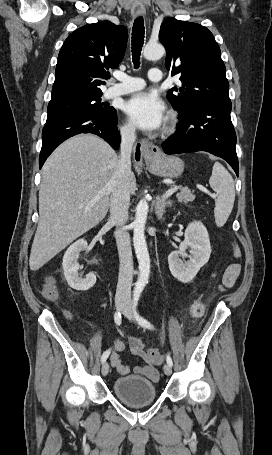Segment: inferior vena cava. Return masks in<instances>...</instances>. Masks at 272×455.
I'll list each match as a JSON object with an SVG mask.
<instances>
[{
  "mask_svg": "<svg viewBox=\"0 0 272 455\" xmlns=\"http://www.w3.org/2000/svg\"><path fill=\"white\" fill-rule=\"evenodd\" d=\"M136 140L135 127L121 129V153L116 172L112 179L110 200V222L116 226L115 238L119 253L120 267L116 296L130 298L133 280V259L130 235L122 227L128 220L130 204L129 177L131 175V153Z\"/></svg>",
  "mask_w": 272,
  "mask_h": 455,
  "instance_id": "1",
  "label": "inferior vena cava"
}]
</instances>
